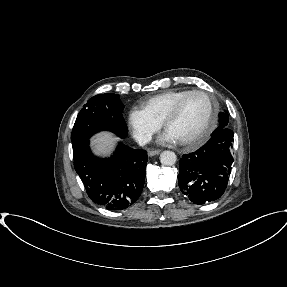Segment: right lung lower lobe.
<instances>
[{"label": "right lung lower lobe", "mask_w": 287, "mask_h": 287, "mask_svg": "<svg viewBox=\"0 0 287 287\" xmlns=\"http://www.w3.org/2000/svg\"><path fill=\"white\" fill-rule=\"evenodd\" d=\"M74 168L90 199L111 210H123L139 198L145 182L147 152L120 142L110 158L94 157L89 139L73 149Z\"/></svg>", "instance_id": "98d812e1"}]
</instances>
